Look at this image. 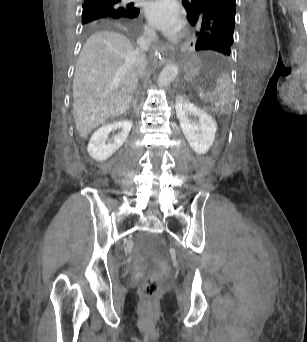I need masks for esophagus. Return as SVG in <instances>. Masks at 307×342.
<instances>
[{
	"label": "esophagus",
	"mask_w": 307,
	"mask_h": 342,
	"mask_svg": "<svg viewBox=\"0 0 307 342\" xmlns=\"http://www.w3.org/2000/svg\"><path fill=\"white\" fill-rule=\"evenodd\" d=\"M156 49L161 53L165 63L172 61L175 57V51L172 48L158 46Z\"/></svg>",
	"instance_id": "esophagus-1"
}]
</instances>
